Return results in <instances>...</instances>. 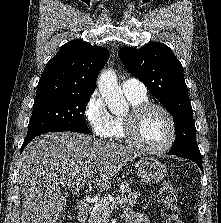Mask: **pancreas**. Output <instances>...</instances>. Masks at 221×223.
Listing matches in <instances>:
<instances>
[{"instance_id": "obj_1", "label": "pancreas", "mask_w": 221, "mask_h": 223, "mask_svg": "<svg viewBox=\"0 0 221 223\" xmlns=\"http://www.w3.org/2000/svg\"><path fill=\"white\" fill-rule=\"evenodd\" d=\"M124 186V190L118 197L120 207L122 208L133 206L138 199V195L131 191L127 183H124ZM113 208L114 205L111 203L110 197L105 196L94 204L87 223H108Z\"/></svg>"}]
</instances>
